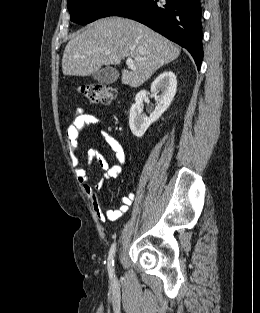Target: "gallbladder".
<instances>
[{
	"instance_id": "1",
	"label": "gallbladder",
	"mask_w": 260,
	"mask_h": 313,
	"mask_svg": "<svg viewBox=\"0 0 260 313\" xmlns=\"http://www.w3.org/2000/svg\"><path fill=\"white\" fill-rule=\"evenodd\" d=\"M94 80L101 84L108 85L117 81L119 73L115 68L106 67L92 74Z\"/></svg>"
}]
</instances>
